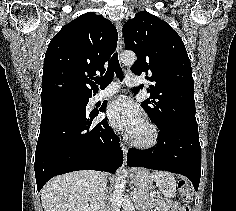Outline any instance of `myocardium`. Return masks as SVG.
I'll list each match as a JSON object with an SVG mask.
<instances>
[{"label":"myocardium","mask_w":236,"mask_h":211,"mask_svg":"<svg viewBox=\"0 0 236 211\" xmlns=\"http://www.w3.org/2000/svg\"><path fill=\"white\" fill-rule=\"evenodd\" d=\"M145 128L144 136L137 137L133 133L129 135L130 144L138 148H151L155 146L159 139V130L157 126L148 118L142 120Z\"/></svg>","instance_id":"1"}]
</instances>
